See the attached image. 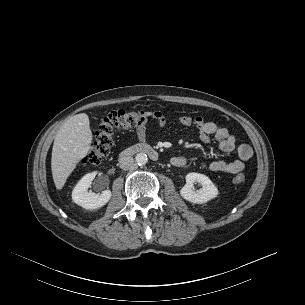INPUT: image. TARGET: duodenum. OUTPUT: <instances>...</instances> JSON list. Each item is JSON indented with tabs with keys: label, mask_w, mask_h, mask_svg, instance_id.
<instances>
[{
	"label": "duodenum",
	"mask_w": 305,
	"mask_h": 305,
	"mask_svg": "<svg viewBox=\"0 0 305 305\" xmlns=\"http://www.w3.org/2000/svg\"><path fill=\"white\" fill-rule=\"evenodd\" d=\"M144 153L150 156L153 159H158V152L152 146L148 144H137L130 147H127L120 151L119 156L125 157L128 155H134Z\"/></svg>",
	"instance_id": "1"
}]
</instances>
